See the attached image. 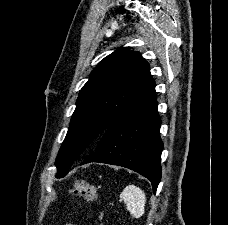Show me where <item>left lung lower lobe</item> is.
Segmentation results:
<instances>
[{
	"instance_id": "obj_1",
	"label": "left lung lower lobe",
	"mask_w": 228,
	"mask_h": 225,
	"mask_svg": "<svg viewBox=\"0 0 228 225\" xmlns=\"http://www.w3.org/2000/svg\"><path fill=\"white\" fill-rule=\"evenodd\" d=\"M160 125L154 86L140 102L106 129L95 152L81 165L99 162L129 168L148 178L155 193L161 179L163 143L159 135Z\"/></svg>"
}]
</instances>
